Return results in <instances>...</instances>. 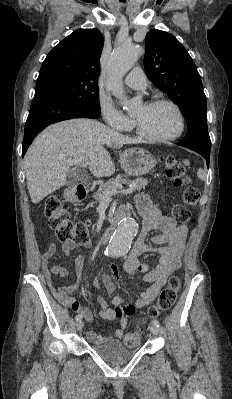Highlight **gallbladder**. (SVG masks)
<instances>
[{
	"mask_svg": "<svg viewBox=\"0 0 232 399\" xmlns=\"http://www.w3.org/2000/svg\"><path fill=\"white\" fill-rule=\"evenodd\" d=\"M72 168L74 169V172H68L66 176V184L69 186V188H75V186H79V180L77 177L80 174L85 173L84 167H77L76 164H73Z\"/></svg>",
	"mask_w": 232,
	"mask_h": 399,
	"instance_id": "obj_1",
	"label": "gallbladder"
}]
</instances>
